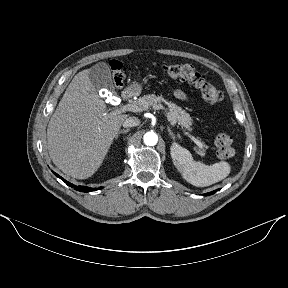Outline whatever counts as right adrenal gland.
<instances>
[{"label":"right adrenal gland","mask_w":288,"mask_h":288,"mask_svg":"<svg viewBox=\"0 0 288 288\" xmlns=\"http://www.w3.org/2000/svg\"><path fill=\"white\" fill-rule=\"evenodd\" d=\"M129 130H130V129H123V130H120V131L117 133V135L115 136V139L117 140L118 137H119V135L122 134V133H125V134L128 133Z\"/></svg>","instance_id":"1"}]
</instances>
